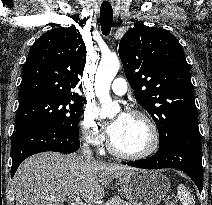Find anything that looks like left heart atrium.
Here are the masks:
<instances>
[{"instance_id":"1","label":"left heart atrium","mask_w":212,"mask_h":205,"mask_svg":"<svg viewBox=\"0 0 212 205\" xmlns=\"http://www.w3.org/2000/svg\"><path fill=\"white\" fill-rule=\"evenodd\" d=\"M127 117L126 114L119 115L115 120H113L107 127L108 133L113 135L117 130L118 126L123 122V120Z\"/></svg>"}]
</instances>
